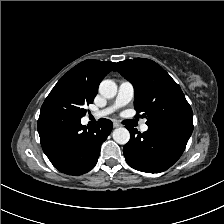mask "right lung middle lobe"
<instances>
[{
  "instance_id": "right-lung-middle-lobe-1",
  "label": "right lung middle lobe",
  "mask_w": 224,
  "mask_h": 224,
  "mask_svg": "<svg viewBox=\"0 0 224 224\" xmlns=\"http://www.w3.org/2000/svg\"><path fill=\"white\" fill-rule=\"evenodd\" d=\"M94 97L81 86L61 78L45 99L41 111H54L81 119L86 114L85 105L93 103Z\"/></svg>"
}]
</instances>
